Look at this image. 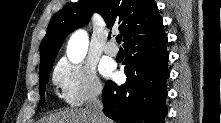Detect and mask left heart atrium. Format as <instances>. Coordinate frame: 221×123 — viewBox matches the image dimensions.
Instances as JSON below:
<instances>
[{
	"mask_svg": "<svg viewBox=\"0 0 221 123\" xmlns=\"http://www.w3.org/2000/svg\"><path fill=\"white\" fill-rule=\"evenodd\" d=\"M103 72H104L105 74H109V73H110V70H109V68L105 67L104 70H103Z\"/></svg>",
	"mask_w": 221,
	"mask_h": 123,
	"instance_id": "obj_1",
	"label": "left heart atrium"
}]
</instances>
